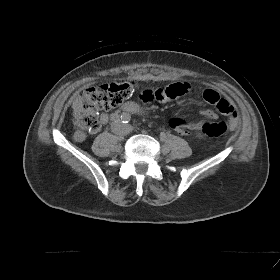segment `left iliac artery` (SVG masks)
<instances>
[{
  "instance_id": "44dca946",
  "label": "left iliac artery",
  "mask_w": 280,
  "mask_h": 280,
  "mask_svg": "<svg viewBox=\"0 0 280 280\" xmlns=\"http://www.w3.org/2000/svg\"><path fill=\"white\" fill-rule=\"evenodd\" d=\"M121 119H122V121H123L124 123H128V122L130 121V119H131V116H130L129 113H123V114L121 115Z\"/></svg>"
}]
</instances>
